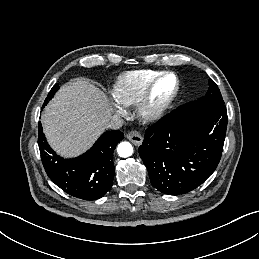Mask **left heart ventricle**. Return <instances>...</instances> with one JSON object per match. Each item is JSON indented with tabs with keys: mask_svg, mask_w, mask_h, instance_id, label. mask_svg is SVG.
I'll return each mask as SVG.
<instances>
[{
	"mask_svg": "<svg viewBox=\"0 0 259 259\" xmlns=\"http://www.w3.org/2000/svg\"><path fill=\"white\" fill-rule=\"evenodd\" d=\"M175 86V79L173 76H167L157 83L152 96L151 104L157 105L163 102L172 93Z\"/></svg>",
	"mask_w": 259,
	"mask_h": 259,
	"instance_id": "left-heart-ventricle-1",
	"label": "left heart ventricle"
}]
</instances>
